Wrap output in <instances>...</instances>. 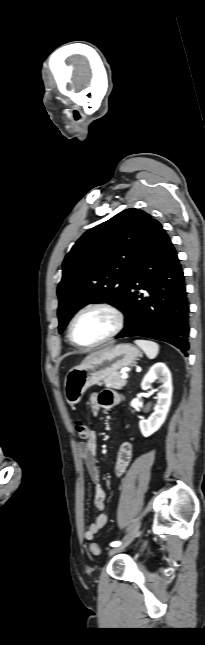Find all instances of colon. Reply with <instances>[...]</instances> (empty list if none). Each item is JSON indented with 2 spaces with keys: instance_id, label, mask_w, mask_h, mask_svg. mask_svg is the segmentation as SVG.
<instances>
[{
  "instance_id": "obj_1",
  "label": "colon",
  "mask_w": 205,
  "mask_h": 645,
  "mask_svg": "<svg viewBox=\"0 0 205 645\" xmlns=\"http://www.w3.org/2000/svg\"><path fill=\"white\" fill-rule=\"evenodd\" d=\"M73 426H74V430L82 440L87 441L90 438L91 429L83 420L76 419L73 423ZM89 549L95 555H99L102 552V549L96 543H91L89 545Z\"/></svg>"
}]
</instances>
